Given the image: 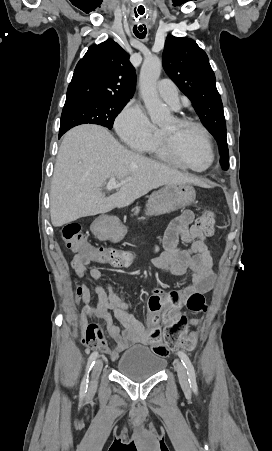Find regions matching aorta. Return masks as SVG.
I'll return each mask as SVG.
<instances>
[{"label":"aorta","instance_id":"762f6f07","mask_svg":"<svg viewBox=\"0 0 272 451\" xmlns=\"http://www.w3.org/2000/svg\"><path fill=\"white\" fill-rule=\"evenodd\" d=\"M162 62L158 56L144 58L140 72V90L143 102L149 112L153 124H161L166 120L165 106L159 98L156 84L160 78Z\"/></svg>","mask_w":272,"mask_h":451}]
</instances>
